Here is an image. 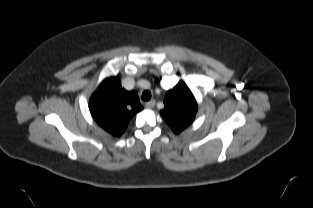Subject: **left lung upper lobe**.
Listing matches in <instances>:
<instances>
[{"label":"left lung upper lobe","mask_w":313,"mask_h":208,"mask_svg":"<svg viewBox=\"0 0 313 208\" xmlns=\"http://www.w3.org/2000/svg\"><path fill=\"white\" fill-rule=\"evenodd\" d=\"M164 105L160 113L176 134L187 128L197 113L196 100L183 81L167 92Z\"/></svg>","instance_id":"5c2ea615"}]
</instances>
